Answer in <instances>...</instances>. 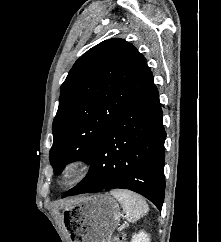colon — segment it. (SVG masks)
Instances as JSON below:
<instances>
[{
	"label": "colon",
	"mask_w": 221,
	"mask_h": 242,
	"mask_svg": "<svg viewBox=\"0 0 221 242\" xmlns=\"http://www.w3.org/2000/svg\"><path fill=\"white\" fill-rule=\"evenodd\" d=\"M123 241H124V236L122 234L115 236L112 240V242H123Z\"/></svg>",
	"instance_id": "colon-1"
}]
</instances>
